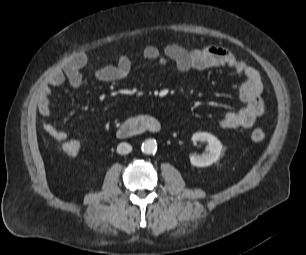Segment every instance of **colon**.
I'll list each match as a JSON object with an SVG mask.
<instances>
[{
	"label": "colon",
	"instance_id": "obj_1",
	"mask_svg": "<svg viewBox=\"0 0 306 255\" xmlns=\"http://www.w3.org/2000/svg\"><path fill=\"white\" fill-rule=\"evenodd\" d=\"M251 138L254 141H262L265 138V132L261 128H255L251 132ZM63 153L68 157H75L80 151V143L77 140H69L61 145Z\"/></svg>",
	"mask_w": 306,
	"mask_h": 255
}]
</instances>
